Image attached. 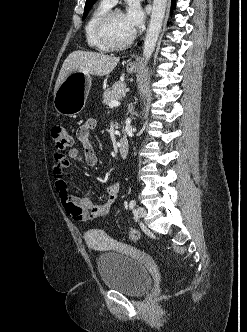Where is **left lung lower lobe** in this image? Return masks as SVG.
<instances>
[{
  "label": "left lung lower lobe",
  "instance_id": "0a47b994",
  "mask_svg": "<svg viewBox=\"0 0 247 332\" xmlns=\"http://www.w3.org/2000/svg\"><path fill=\"white\" fill-rule=\"evenodd\" d=\"M175 0H172V8H174Z\"/></svg>",
  "mask_w": 247,
  "mask_h": 332
}]
</instances>
